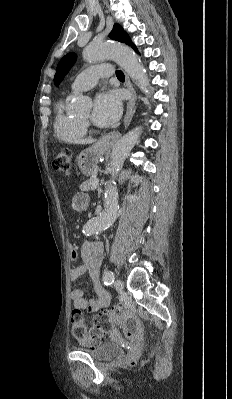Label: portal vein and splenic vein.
Segmentation results:
<instances>
[{"label":"portal vein and splenic vein","instance_id":"portal-vein-and-splenic-vein-1","mask_svg":"<svg viewBox=\"0 0 232 399\" xmlns=\"http://www.w3.org/2000/svg\"><path fill=\"white\" fill-rule=\"evenodd\" d=\"M98 182H99V180H98V178H96V180H94V184H92L90 190H96V188L98 186Z\"/></svg>","mask_w":232,"mask_h":399}]
</instances>
